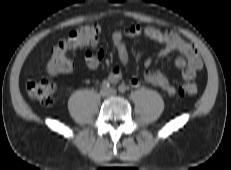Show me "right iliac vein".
I'll use <instances>...</instances> for the list:
<instances>
[{"label":"right iliac vein","mask_w":231,"mask_h":170,"mask_svg":"<svg viewBox=\"0 0 231 170\" xmlns=\"http://www.w3.org/2000/svg\"><path fill=\"white\" fill-rule=\"evenodd\" d=\"M100 95H101L102 97H105V96L107 95V90H106L105 88L101 89V90H100Z\"/></svg>","instance_id":"63e3f726"}]
</instances>
